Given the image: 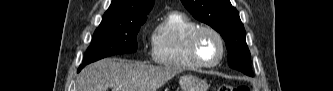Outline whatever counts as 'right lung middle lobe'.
<instances>
[{"label":"right lung middle lobe","instance_id":"1","mask_svg":"<svg viewBox=\"0 0 333 91\" xmlns=\"http://www.w3.org/2000/svg\"><path fill=\"white\" fill-rule=\"evenodd\" d=\"M147 17L131 20L102 19L95 30L83 63L89 64L115 54L137 50L136 35Z\"/></svg>","mask_w":333,"mask_h":91}]
</instances>
